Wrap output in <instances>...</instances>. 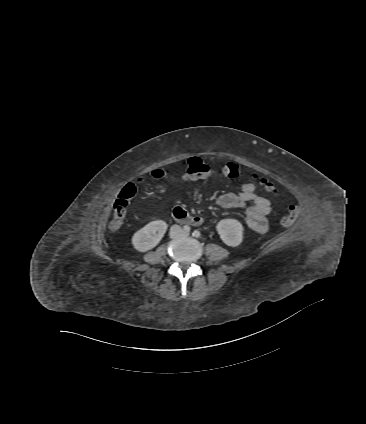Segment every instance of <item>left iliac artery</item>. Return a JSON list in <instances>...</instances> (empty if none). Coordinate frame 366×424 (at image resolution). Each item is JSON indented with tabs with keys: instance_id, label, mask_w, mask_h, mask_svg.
<instances>
[{
	"instance_id": "left-iliac-artery-1",
	"label": "left iliac artery",
	"mask_w": 366,
	"mask_h": 424,
	"mask_svg": "<svg viewBox=\"0 0 366 424\" xmlns=\"http://www.w3.org/2000/svg\"><path fill=\"white\" fill-rule=\"evenodd\" d=\"M192 235L196 238H199L201 233L199 231L195 230V231H193Z\"/></svg>"
}]
</instances>
